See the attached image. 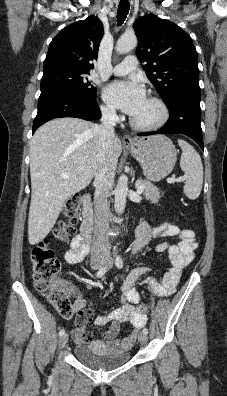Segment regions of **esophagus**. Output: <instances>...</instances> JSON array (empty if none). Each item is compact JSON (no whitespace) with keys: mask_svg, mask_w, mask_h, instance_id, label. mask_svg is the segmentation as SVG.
<instances>
[{"mask_svg":"<svg viewBox=\"0 0 227 396\" xmlns=\"http://www.w3.org/2000/svg\"><path fill=\"white\" fill-rule=\"evenodd\" d=\"M123 144L127 145V146L133 145L134 144V140H133V138L130 135L125 134L123 136Z\"/></svg>","mask_w":227,"mask_h":396,"instance_id":"esophagus-1","label":"esophagus"}]
</instances>
